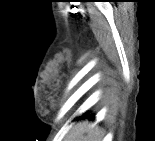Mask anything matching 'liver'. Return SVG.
<instances>
[{
    "label": "liver",
    "mask_w": 155,
    "mask_h": 141,
    "mask_svg": "<svg viewBox=\"0 0 155 141\" xmlns=\"http://www.w3.org/2000/svg\"><path fill=\"white\" fill-rule=\"evenodd\" d=\"M103 132L97 127H90L86 122L78 123L66 135L65 141H102Z\"/></svg>",
    "instance_id": "1"
}]
</instances>
